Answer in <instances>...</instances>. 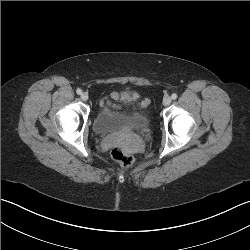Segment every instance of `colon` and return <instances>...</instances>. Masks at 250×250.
Listing matches in <instances>:
<instances>
[{
    "mask_svg": "<svg viewBox=\"0 0 250 250\" xmlns=\"http://www.w3.org/2000/svg\"><path fill=\"white\" fill-rule=\"evenodd\" d=\"M110 156L123 168H130L134 164V157L127 153L121 146L115 145L110 149Z\"/></svg>",
    "mask_w": 250,
    "mask_h": 250,
    "instance_id": "obj_1",
    "label": "colon"
}]
</instances>
